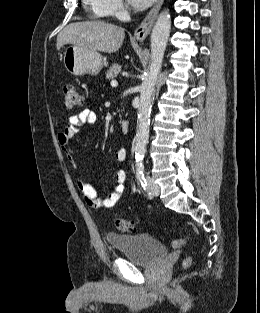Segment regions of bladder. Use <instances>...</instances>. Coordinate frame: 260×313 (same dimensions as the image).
<instances>
[{
    "mask_svg": "<svg viewBox=\"0 0 260 313\" xmlns=\"http://www.w3.org/2000/svg\"><path fill=\"white\" fill-rule=\"evenodd\" d=\"M106 241L122 253L131 263L138 266H153L168 254L167 247L158 239L147 234H107Z\"/></svg>",
    "mask_w": 260,
    "mask_h": 313,
    "instance_id": "bladder-1",
    "label": "bladder"
}]
</instances>
